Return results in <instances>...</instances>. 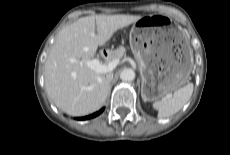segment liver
<instances>
[{"label": "liver", "instance_id": "6515ba94", "mask_svg": "<svg viewBox=\"0 0 230 155\" xmlns=\"http://www.w3.org/2000/svg\"><path fill=\"white\" fill-rule=\"evenodd\" d=\"M140 18V15L88 16L59 32L44 71L46 91L59 109L72 116H83L101 108L108 96L109 82L106 73H97L86 63L117 30Z\"/></svg>", "mask_w": 230, "mask_h": 155}]
</instances>
